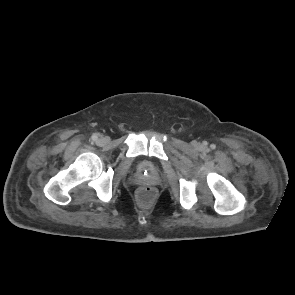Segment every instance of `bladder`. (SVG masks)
I'll return each mask as SVG.
<instances>
[{"mask_svg": "<svg viewBox=\"0 0 295 295\" xmlns=\"http://www.w3.org/2000/svg\"><path fill=\"white\" fill-rule=\"evenodd\" d=\"M134 173L143 180H152L157 175V166L148 159H139L134 164Z\"/></svg>", "mask_w": 295, "mask_h": 295, "instance_id": "1", "label": "bladder"}]
</instances>
